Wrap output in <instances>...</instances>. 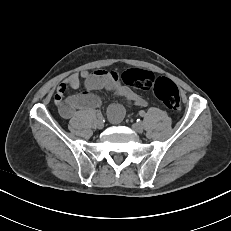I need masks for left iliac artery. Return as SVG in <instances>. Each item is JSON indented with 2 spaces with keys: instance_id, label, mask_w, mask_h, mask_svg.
Instances as JSON below:
<instances>
[{
  "instance_id": "1",
  "label": "left iliac artery",
  "mask_w": 231,
  "mask_h": 231,
  "mask_svg": "<svg viewBox=\"0 0 231 231\" xmlns=\"http://www.w3.org/2000/svg\"><path fill=\"white\" fill-rule=\"evenodd\" d=\"M139 114H140V116L144 117L145 116V111H140Z\"/></svg>"
}]
</instances>
